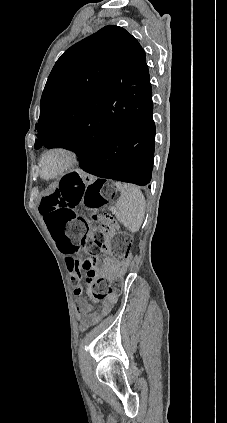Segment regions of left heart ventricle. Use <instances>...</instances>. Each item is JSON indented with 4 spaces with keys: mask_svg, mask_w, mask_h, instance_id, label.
Wrapping results in <instances>:
<instances>
[{
    "mask_svg": "<svg viewBox=\"0 0 227 423\" xmlns=\"http://www.w3.org/2000/svg\"><path fill=\"white\" fill-rule=\"evenodd\" d=\"M64 158L59 154L48 157L44 163V173L46 176L55 174L62 166Z\"/></svg>",
    "mask_w": 227,
    "mask_h": 423,
    "instance_id": "1",
    "label": "left heart ventricle"
}]
</instances>
